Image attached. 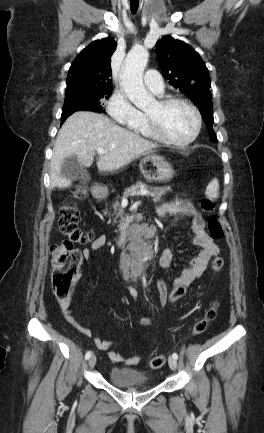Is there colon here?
Returning <instances> with one entry per match:
<instances>
[{"instance_id": "colon-1", "label": "colon", "mask_w": 264, "mask_h": 433, "mask_svg": "<svg viewBox=\"0 0 264 433\" xmlns=\"http://www.w3.org/2000/svg\"><path fill=\"white\" fill-rule=\"evenodd\" d=\"M72 194L76 199H84L87 194L86 187L83 184L75 185L72 188ZM201 208L205 213L212 214L214 205L212 201L206 199L202 201ZM59 229L65 236V239L54 244L51 248L52 284L55 296L63 299L70 295L71 284L78 274L82 262L81 253L75 245H85L92 242L94 235L91 231L79 226V210L74 204H65L61 208ZM207 230L214 239L223 237V228L215 215L209 217ZM223 264V258L215 255L211 259L210 267L213 271H219L223 267ZM185 293L186 288L183 285H175L169 293L166 303L174 305ZM217 310L218 303L213 302L203 317L195 322L191 329V334L197 336L204 333L208 325L216 318ZM164 363L165 357L162 355L153 356L148 361V365L152 369H159Z\"/></svg>"}]
</instances>
